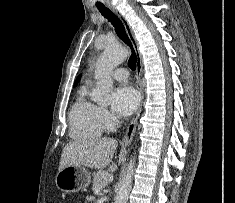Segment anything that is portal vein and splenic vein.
Masks as SVG:
<instances>
[{
    "instance_id": "obj_1",
    "label": "portal vein and splenic vein",
    "mask_w": 235,
    "mask_h": 203,
    "mask_svg": "<svg viewBox=\"0 0 235 203\" xmlns=\"http://www.w3.org/2000/svg\"><path fill=\"white\" fill-rule=\"evenodd\" d=\"M100 193V189H97L96 191H95V194H99Z\"/></svg>"
}]
</instances>
